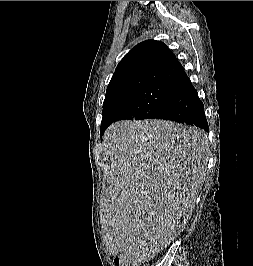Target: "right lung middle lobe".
I'll return each mask as SVG.
<instances>
[{"instance_id":"right-lung-middle-lobe-1","label":"right lung middle lobe","mask_w":253,"mask_h":266,"mask_svg":"<svg viewBox=\"0 0 253 266\" xmlns=\"http://www.w3.org/2000/svg\"><path fill=\"white\" fill-rule=\"evenodd\" d=\"M172 89V84H156L104 103L100 131L117 120L158 118L169 104Z\"/></svg>"}]
</instances>
